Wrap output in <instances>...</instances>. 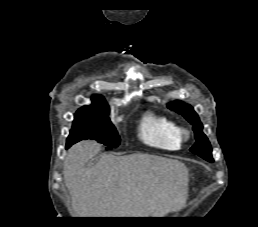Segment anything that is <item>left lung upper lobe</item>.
<instances>
[{"label": "left lung upper lobe", "mask_w": 258, "mask_h": 227, "mask_svg": "<svg viewBox=\"0 0 258 227\" xmlns=\"http://www.w3.org/2000/svg\"><path fill=\"white\" fill-rule=\"evenodd\" d=\"M168 107L171 110L180 113L187 121H189L194 126V132L196 137V143L190 148V151L199 155L200 157L204 158L207 161L212 162V149L209 143V140L203 133V126L199 120L198 115L195 113L193 108L182 102V101H174L171 102Z\"/></svg>", "instance_id": "1"}]
</instances>
